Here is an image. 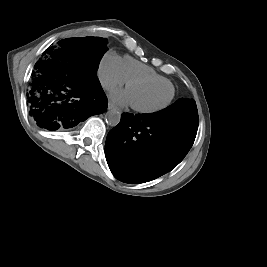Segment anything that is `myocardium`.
Listing matches in <instances>:
<instances>
[{"label": "myocardium", "mask_w": 267, "mask_h": 267, "mask_svg": "<svg viewBox=\"0 0 267 267\" xmlns=\"http://www.w3.org/2000/svg\"><path fill=\"white\" fill-rule=\"evenodd\" d=\"M140 83H154V84H159V85H168V86H170V88L172 90V94H171L170 98L165 103H163L162 105H159V106L140 107V106L131 104L132 109L139 112V113L149 114V113L159 112V111L167 108L175 98L176 91H175V87L172 83H164L162 81H158V80H156L154 78H150V77L131 78V79L127 80L126 87L128 88L129 86H131L133 84H140Z\"/></svg>", "instance_id": "f54148a6"}]
</instances>
